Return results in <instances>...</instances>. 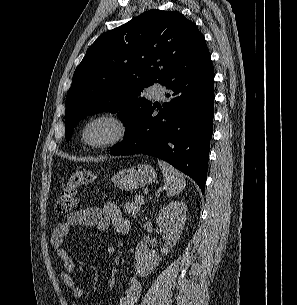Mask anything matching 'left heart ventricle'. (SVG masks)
Listing matches in <instances>:
<instances>
[{
	"label": "left heart ventricle",
	"instance_id": "b2bd125f",
	"mask_svg": "<svg viewBox=\"0 0 297 305\" xmlns=\"http://www.w3.org/2000/svg\"><path fill=\"white\" fill-rule=\"evenodd\" d=\"M113 131V127L109 123L100 122L88 129L87 136L92 141H101L110 137Z\"/></svg>",
	"mask_w": 297,
	"mask_h": 305
}]
</instances>
